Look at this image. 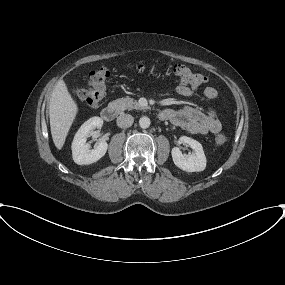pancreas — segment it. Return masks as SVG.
Here are the masks:
<instances>
[{
  "mask_svg": "<svg viewBox=\"0 0 285 285\" xmlns=\"http://www.w3.org/2000/svg\"><path fill=\"white\" fill-rule=\"evenodd\" d=\"M111 103L119 111L132 110V109H144L143 107L139 105V103L136 100L129 98V97L120 98Z\"/></svg>",
  "mask_w": 285,
  "mask_h": 285,
  "instance_id": "pancreas-1",
  "label": "pancreas"
}]
</instances>
